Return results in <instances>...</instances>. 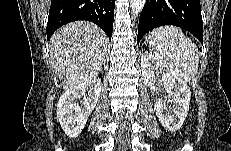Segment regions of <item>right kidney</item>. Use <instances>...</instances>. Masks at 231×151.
<instances>
[{
    "label": "right kidney",
    "mask_w": 231,
    "mask_h": 151,
    "mask_svg": "<svg viewBox=\"0 0 231 151\" xmlns=\"http://www.w3.org/2000/svg\"><path fill=\"white\" fill-rule=\"evenodd\" d=\"M101 92L100 78L87 80L68 89L57 104V119L64 132L72 138L82 132L89 115L94 110ZM83 98V102H76Z\"/></svg>",
    "instance_id": "obj_1"
}]
</instances>
